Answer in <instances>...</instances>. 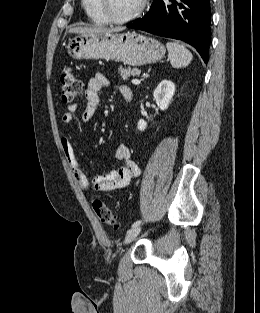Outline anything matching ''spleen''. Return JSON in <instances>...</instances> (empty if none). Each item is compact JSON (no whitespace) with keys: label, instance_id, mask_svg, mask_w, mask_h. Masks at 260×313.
<instances>
[{"label":"spleen","instance_id":"obj_1","mask_svg":"<svg viewBox=\"0 0 260 313\" xmlns=\"http://www.w3.org/2000/svg\"><path fill=\"white\" fill-rule=\"evenodd\" d=\"M166 47L172 67H186L192 61L193 56L184 45L177 42H168Z\"/></svg>","mask_w":260,"mask_h":313}]
</instances>
